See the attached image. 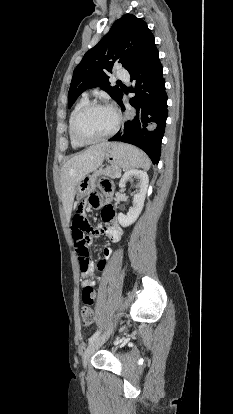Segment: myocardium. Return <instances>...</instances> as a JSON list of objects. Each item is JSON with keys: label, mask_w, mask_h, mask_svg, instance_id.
Returning <instances> with one entry per match:
<instances>
[{"label": "myocardium", "mask_w": 233, "mask_h": 414, "mask_svg": "<svg viewBox=\"0 0 233 414\" xmlns=\"http://www.w3.org/2000/svg\"><path fill=\"white\" fill-rule=\"evenodd\" d=\"M93 108H106V109L111 110L115 115V124L113 128L111 129V131H109L107 134L103 136L96 137V138H84L79 135L77 126H78L80 118L87 111ZM121 123H122V117L116 108L106 103L99 102V101H90L86 103L75 115L73 122H72L71 133H72V137L74 138V140L77 141L78 143L85 144V145L92 144V143L101 142V141H104V140H107L113 137L119 131Z\"/></svg>", "instance_id": "myocardium-1"}]
</instances>
